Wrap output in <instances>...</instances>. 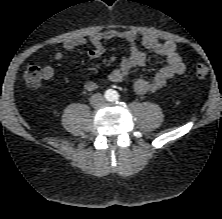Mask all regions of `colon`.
I'll use <instances>...</instances> for the list:
<instances>
[{"mask_svg":"<svg viewBox=\"0 0 222 219\" xmlns=\"http://www.w3.org/2000/svg\"><path fill=\"white\" fill-rule=\"evenodd\" d=\"M195 74L200 79L205 78L209 74V69L204 64H198L195 68ZM44 76L43 70L34 63L28 64L24 72L25 82L30 87H37Z\"/></svg>","mask_w":222,"mask_h":219,"instance_id":"obj_1","label":"colon"}]
</instances>
